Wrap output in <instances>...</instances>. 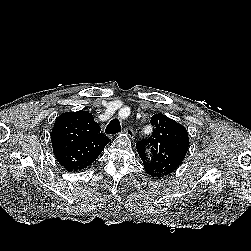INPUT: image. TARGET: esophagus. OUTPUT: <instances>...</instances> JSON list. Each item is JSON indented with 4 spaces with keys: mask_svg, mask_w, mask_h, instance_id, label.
<instances>
[{
    "mask_svg": "<svg viewBox=\"0 0 251 251\" xmlns=\"http://www.w3.org/2000/svg\"><path fill=\"white\" fill-rule=\"evenodd\" d=\"M124 132L128 135V137H129L131 140L134 139L135 133H134V130H133L132 128L126 127V128L124 129Z\"/></svg>",
    "mask_w": 251,
    "mask_h": 251,
    "instance_id": "1",
    "label": "esophagus"
}]
</instances>
